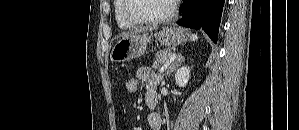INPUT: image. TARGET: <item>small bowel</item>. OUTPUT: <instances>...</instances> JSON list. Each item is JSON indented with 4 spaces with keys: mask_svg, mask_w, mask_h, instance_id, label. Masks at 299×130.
Masks as SVG:
<instances>
[{
    "mask_svg": "<svg viewBox=\"0 0 299 130\" xmlns=\"http://www.w3.org/2000/svg\"><path fill=\"white\" fill-rule=\"evenodd\" d=\"M139 83L144 85L146 98L151 93H156V85L160 80V75L148 67H141L136 72ZM157 94V93H156ZM148 124L153 130L161 129V117L158 113H150Z\"/></svg>",
    "mask_w": 299,
    "mask_h": 130,
    "instance_id": "c3829d8e",
    "label": "small bowel"
}]
</instances>
